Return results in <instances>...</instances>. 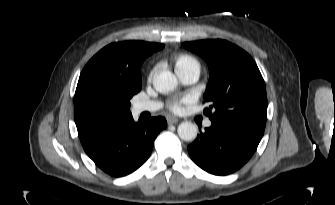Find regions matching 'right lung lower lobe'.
<instances>
[{"instance_id":"1","label":"right lung lower lobe","mask_w":335,"mask_h":205,"mask_svg":"<svg viewBox=\"0 0 335 205\" xmlns=\"http://www.w3.org/2000/svg\"><path fill=\"white\" fill-rule=\"evenodd\" d=\"M166 125L164 117L134 122L131 116L80 140L99 168L111 176L121 177L135 171L148 159L155 138Z\"/></svg>"}]
</instances>
